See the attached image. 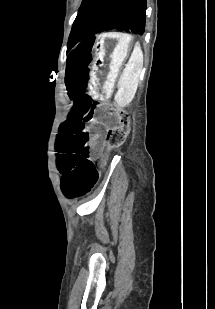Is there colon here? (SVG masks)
Wrapping results in <instances>:
<instances>
[{
    "instance_id": "5ec220e1",
    "label": "colon",
    "mask_w": 215,
    "mask_h": 309,
    "mask_svg": "<svg viewBox=\"0 0 215 309\" xmlns=\"http://www.w3.org/2000/svg\"><path fill=\"white\" fill-rule=\"evenodd\" d=\"M116 112L118 122L108 130L106 135V141L111 149H116L124 143L129 127L128 113L122 108H116Z\"/></svg>"
}]
</instances>
